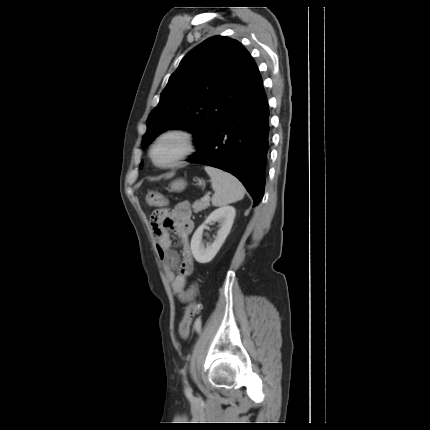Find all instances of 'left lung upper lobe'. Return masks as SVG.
<instances>
[{"label":"left lung upper lobe","instance_id":"5c2ea615","mask_svg":"<svg viewBox=\"0 0 430 430\" xmlns=\"http://www.w3.org/2000/svg\"><path fill=\"white\" fill-rule=\"evenodd\" d=\"M256 63L241 43L214 36L191 50L180 62L148 116L142 147L168 129H183L196 139L227 110L257 87ZM142 166V163L140 164Z\"/></svg>","mask_w":430,"mask_h":430}]
</instances>
